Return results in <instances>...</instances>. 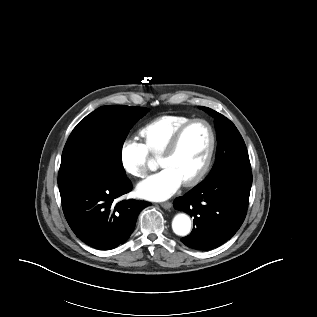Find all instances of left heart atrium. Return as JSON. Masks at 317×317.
<instances>
[{
	"label": "left heart atrium",
	"instance_id": "1",
	"mask_svg": "<svg viewBox=\"0 0 317 317\" xmlns=\"http://www.w3.org/2000/svg\"><path fill=\"white\" fill-rule=\"evenodd\" d=\"M182 179L168 167L149 176L137 186L138 194L148 200L162 201L172 196L181 186Z\"/></svg>",
	"mask_w": 317,
	"mask_h": 317
}]
</instances>
